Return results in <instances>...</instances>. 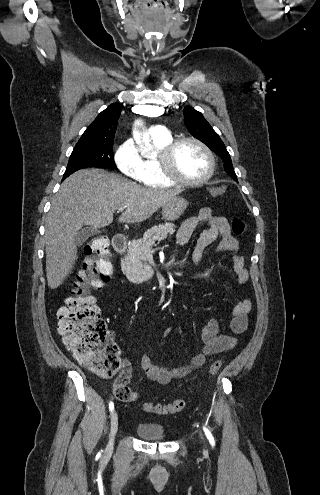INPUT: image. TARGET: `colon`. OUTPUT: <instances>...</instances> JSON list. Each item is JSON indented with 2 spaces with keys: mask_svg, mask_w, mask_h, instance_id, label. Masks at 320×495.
Masks as SVG:
<instances>
[{
  "mask_svg": "<svg viewBox=\"0 0 320 495\" xmlns=\"http://www.w3.org/2000/svg\"><path fill=\"white\" fill-rule=\"evenodd\" d=\"M224 187L212 190L213 195L221 196ZM232 228L235 234H242L245 223L234 217ZM86 263L84 270L78 275L72 296L67 304L58 311V333L66 348L88 369L96 374L110 378L120 369L121 362L117 345L107 338L106 323L92 296L86 294L90 287L101 288L109 280L112 265L109 261V250L106 238L97 237L84 249ZM221 360H215L209 373L215 376L221 369ZM127 375L119 374L114 381L115 397L124 402H133L137 394L128 387ZM185 407L183 399H176L168 404L145 403V411L160 415L175 414Z\"/></svg>",
  "mask_w": 320,
  "mask_h": 495,
  "instance_id": "1",
  "label": "colon"
}]
</instances>
